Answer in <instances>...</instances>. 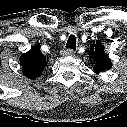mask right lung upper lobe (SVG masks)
Returning <instances> with one entry per match:
<instances>
[{"label":"right lung upper lobe","mask_w":127,"mask_h":127,"mask_svg":"<svg viewBox=\"0 0 127 127\" xmlns=\"http://www.w3.org/2000/svg\"><path fill=\"white\" fill-rule=\"evenodd\" d=\"M19 60L23 74L29 79L39 77L48 62L38 46H33L31 50L22 54Z\"/></svg>","instance_id":"obj_1"}]
</instances>
